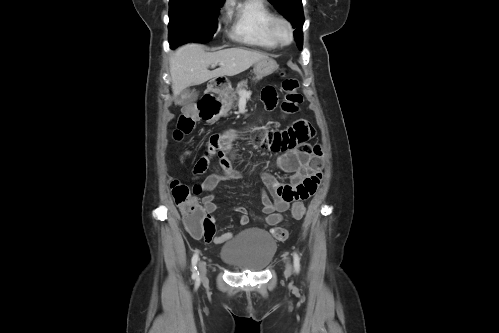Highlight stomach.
<instances>
[{"label": "stomach", "mask_w": 499, "mask_h": 333, "mask_svg": "<svg viewBox=\"0 0 499 333\" xmlns=\"http://www.w3.org/2000/svg\"><path fill=\"white\" fill-rule=\"evenodd\" d=\"M277 68L278 65L273 59L267 58L260 60L254 64L255 79L260 80L263 77L272 74Z\"/></svg>", "instance_id": "1"}]
</instances>
